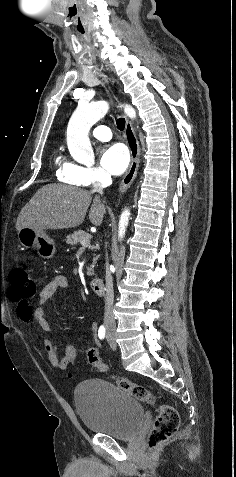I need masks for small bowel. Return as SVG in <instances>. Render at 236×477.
Here are the masks:
<instances>
[{"mask_svg":"<svg viewBox=\"0 0 236 477\" xmlns=\"http://www.w3.org/2000/svg\"><path fill=\"white\" fill-rule=\"evenodd\" d=\"M69 287V282L66 276L57 274L53 276L48 283L43 287L39 293L38 305L35 309L32 308L23 314L18 313L20 319L28 326H38L43 332L50 333L51 327L46 316V302L59 289H66ZM98 329L97 323L91 324V331L96 336ZM97 355L99 354L97 346L89 348ZM88 350V349H87ZM86 350V351H87ZM44 351L48 362L57 370H65L73 366L82 349L76 346H65L63 348V357L59 356V346L56 341L46 339L44 341Z\"/></svg>","mask_w":236,"mask_h":477,"instance_id":"c3829d8e","label":"small bowel"}]
</instances>
